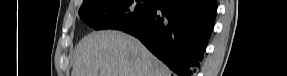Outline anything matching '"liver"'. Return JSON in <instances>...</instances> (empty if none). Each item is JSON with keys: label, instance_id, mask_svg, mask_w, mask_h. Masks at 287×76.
<instances>
[{"label": "liver", "instance_id": "liver-1", "mask_svg": "<svg viewBox=\"0 0 287 76\" xmlns=\"http://www.w3.org/2000/svg\"><path fill=\"white\" fill-rule=\"evenodd\" d=\"M71 76H171L138 39L120 31L93 32L73 53Z\"/></svg>", "mask_w": 287, "mask_h": 76}]
</instances>
